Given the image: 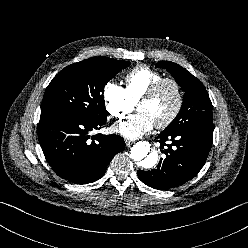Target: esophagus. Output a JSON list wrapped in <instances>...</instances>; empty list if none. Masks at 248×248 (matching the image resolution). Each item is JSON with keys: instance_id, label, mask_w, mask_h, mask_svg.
Listing matches in <instances>:
<instances>
[{"instance_id": "1", "label": "esophagus", "mask_w": 248, "mask_h": 248, "mask_svg": "<svg viewBox=\"0 0 248 248\" xmlns=\"http://www.w3.org/2000/svg\"><path fill=\"white\" fill-rule=\"evenodd\" d=\"M125 144L127 147H130L132 144H133V141H130V140H125Z\"/></svg>"}]
</instances>
